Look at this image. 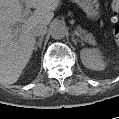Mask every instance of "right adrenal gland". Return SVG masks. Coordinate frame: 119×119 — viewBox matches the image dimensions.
I'll list each match as a JSON object with an SVG mask.
<instances>
[{
  "label": "right adrenal gland",
  "mask_w": 119,
  "mask_h": 119,
  "mask_svg": "<svg viewBox=\"0 0 119 119\" xmlns=\"http://www.w3.org/2000/svg\"><path fill=\"white\" fill-rule=\"evenodd\" d=\"M43 35L39 37L38 41L36 42V45L34 47V50H37V48H41L42 47V42H43Z\"/></svg>",
  "instance_id": "right-adrenal-gland-1"
}]
</instances>
